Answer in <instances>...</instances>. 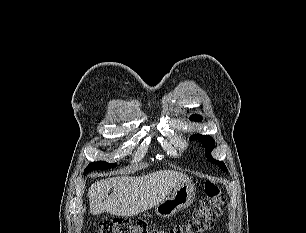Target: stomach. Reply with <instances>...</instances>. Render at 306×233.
Listing matches in <instances>:
<instances>
[{"instance_id":"0dacf381","label":"stomach","mask_w":306,"mask_h":233,"mask_svg":"<svg viewBox=\"0 0 306 233\" xmlns=\"http://www.w3.org/2000/svg\"><path fill=\"white\" fill-rule=\"evenodd\" d=\"M195 198V188L190 182L178 184L171 195L155 206V212L162 218H169L180 210L190 206Z\"/></svg>"}]
</instances>
